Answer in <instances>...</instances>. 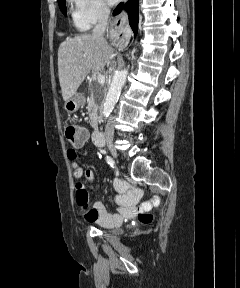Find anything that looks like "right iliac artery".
<instances>
[{
  "label": "right iliac artery",
  "mask_w": 240,
  "mask_h": 288,
  "mask_svg": "<svg viewBox=\"0 0 240 288\" xmlns=\"http://www.w3.org/2000/svg\"><path fill=\"white\" fill-rule=\"evenodd\" d=\"M106 161L111 167H113L114 160L110 156H106Z\"/></svg>",
  "instance_id": "obj_1"
}]
</instances>
